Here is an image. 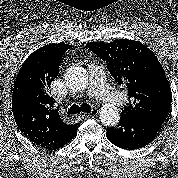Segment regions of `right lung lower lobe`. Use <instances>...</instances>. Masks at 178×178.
Segmentation results:
<instances>
[{"instance_id": "right-lung-lower-lobe-1", "label": "right lung lower lobe", "mask_w": 178, "mask_h": 178, "mask_svg": "<svg viewBox=\"0 0 178 178\" xmlns=\"http://www.w3.org/2000/svg\"><path fill=\"white\" fill-rule=\"evenodd\" d=\"M76 137V132L72 134L69 138L63 140L60 144H58L56 147H54L52 150L59 149L60 147H63L66 143H68L72 138Z\"/></svg>"}]
</instances>
